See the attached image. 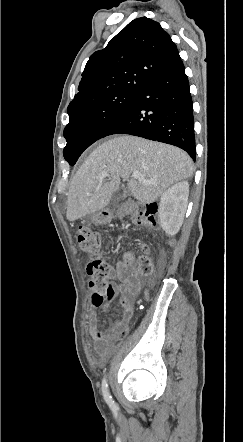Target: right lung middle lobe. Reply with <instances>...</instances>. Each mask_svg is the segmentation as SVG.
Instances as JSON below:
<instances>
[{
    "instance_id": "right-lung-middle-lobe-1",
    "label": "right lung middle lobe",
    "mask_w": 243,
    "mask_h": 442,
    "mask_svg": "<svg viewBox=\"0 0 243 442\" xmlns=\"http://www.w3.org/2000/svg\"><path fill=\"white\" fill-rule=\"evenodd\" d=\"M136 92L119 91L69 113V123L64 129L67 145L63 155L70 165L73 166L83 151L100 139L101 132L123 111Z\"/></svg>"
}]
</instances>
